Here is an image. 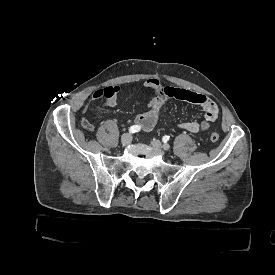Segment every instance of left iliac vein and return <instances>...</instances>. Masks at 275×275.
<instances>
[{
    "label": "left iliac vein",
    "instance_id": "left-iliac-vein-1",
    "mask_svg": "<svg viewBox=\"0 0 275 275\" xmlns=\"http://www.w3.org/2000/svg\"><path fill=\"white\" fill-rule=\"evenodd\" d=\"M151 144L154 148H157V149H165V150H168L170 148V145L169 144H162L159 140L157 139H153L151 141Z\"/></svg>",
    "mask_w": 275,
    "mask_h": 275
}]
</instances>
